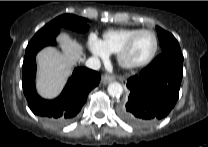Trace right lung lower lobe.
<instances>
[{
    "mask_svg": "<svg viewBox=\"0 0 208 147\" xmlns=\"http://www.w3.org/2000/svg\"><path fill=\"white\" fill-rule=\"evenodd\" d=\"M58 33L59 31L28 43L22 66V86L28 106L34 114L53 124H65L79 113L88 93L99 84L101 75L85 67L75 68L58 98L45 100L38 96L35 90V56L43 47L55 45Z\"/></svg>",
    "mask_w": 208,
    "mask_h": 147,
    "instance_id": "1",
    "label": "right lung lower lobe"
}]
</instances>
